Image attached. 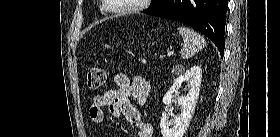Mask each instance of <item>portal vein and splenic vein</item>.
I'll return each instance as SVG.
<instances>
[{
  "mask_svg": "<svg viewBox=\"0 0 280 137\" xmlns=\"http://www.w3.org/2000/svg\"><path fill=\"white\" fill-rule=\"evenodd\" d=\"M173 54V51H168L167 52V56L169 57V56H171Z\"/></svg>",
  "mask_w": 280,
  "mask_h": 137,
  "instance_id": "portal-vein-and-splenic-vein-1",
  "label": "portal vein and splenic vein"
}]
</instances>
